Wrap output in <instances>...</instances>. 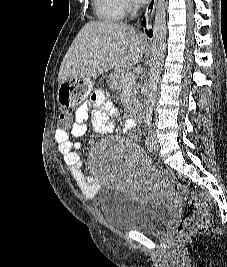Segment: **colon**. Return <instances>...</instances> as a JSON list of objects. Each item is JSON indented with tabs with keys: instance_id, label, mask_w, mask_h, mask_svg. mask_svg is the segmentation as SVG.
Returning a JSON list of instances; mask_svg holds the SVG:
<instances>
[{
	"instance_id": "5ec220e1",
	"label": "colon",
	"mask_w": 227,
	"mask_h": 267,
	"mask_svg": "<svg viewBox=\"0 0 227 267\" xmlns=\"http://www.w3.org/2000/svg\"><path fill=\"white\" fill-rule=\"evenodd\" d=\"M84 100V99H83ZM75 114H70V110H63L60 114L59 130H70L75 119ZM162 175L168 181L175 194L187 200L194 205L192 210L185 212L177 223L175 230V239L178 243L191 240L197 234L205 232L211 225V217L209 214V202L207 196L202 192H190L188 186L180 181L174 180L168 172L163 171Z\"/></svg>"
}]
</instances>
